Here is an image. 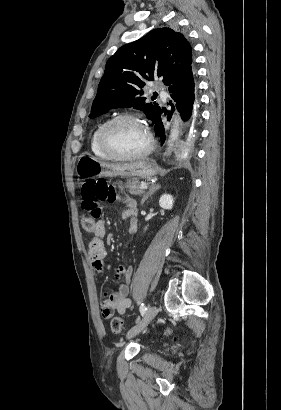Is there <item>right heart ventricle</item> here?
<instances>
[{
    "label": "right heart ventricle",
    "mask_w": 281,
    "mask_h": 410,
    "mask_svg": "<svg viewBox=\"0 0 281 410\" xmlns=\"http://www.w3.org/2000/svg\"><path fill=\"white\" fill-rule=\"evenodd\" d=\"M107 120L101 121L93 130L92 135L90 137V150L94 156L100 159H111L108 155H106L99 146L98 136L102 126L105 124Z\"/></svg>",
    "instance_id": "1"
}]
</instances>
